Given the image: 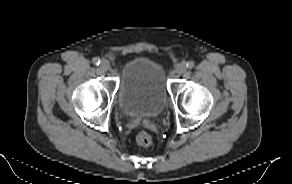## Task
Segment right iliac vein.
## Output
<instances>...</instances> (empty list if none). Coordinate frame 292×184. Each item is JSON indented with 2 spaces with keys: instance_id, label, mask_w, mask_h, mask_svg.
<instances>
[{
  "instance_id": "63e3f726",
  "label": "right iliac vein",
  "mask_w": 292,
  "mask_h": 184,
  "mask_svg": "<svg viewBox=\"0 0 292 184\" xmlns=\"http://www.w3.org/2000/svg\"><path fill=\"white\" fill-rule=\"evenodd\" d=\"M100 67H101L102 70L107 71V70L110 68V63H109V61H107V60H105V59L102 60L101 63H100Z\"/></svg>"
}]
</instances>
